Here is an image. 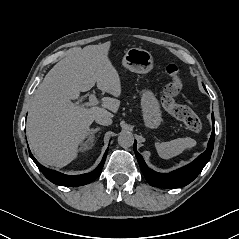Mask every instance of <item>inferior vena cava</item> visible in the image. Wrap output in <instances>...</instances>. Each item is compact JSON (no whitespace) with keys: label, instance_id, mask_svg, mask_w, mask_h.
Here are the masks:
<instances>
[{"label":"inferior vena cava","instance_id":"obj_1","mask_svg":"<svg viewBox=\"0 0 239 239\" xmlns=\"http://www.w3.org/2000/svg\"><path fill=\"white\" fill-rule=\"evenodd\" d=\"M94 120L96 123L104 126H108L112 124V118H111V113L108 112L107 110H103L96 114L94 117Z\"/></svg>","mask_w":239,"mask_h":239}]
</instances>
